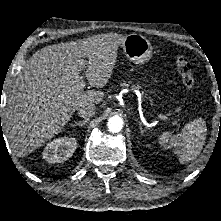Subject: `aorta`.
Listing matches in <instances>:
<instances>
[{
  "label": "aorta",
  "instance_id": "1",
  "mask_svg": "<svg viewBox=\"0 0 221 221\" xmlns=\"http://www.w3.org/2000/svg\"><path fill=\"white\" fill-rule=\"evenodd\" d=\"M123 124V119L121 117L113 116L108 120L107 127L110 132L118 133L122 130Z\"/></svg>",
  "mask_w": 221,
  "mask_h": 221
}]
</instances>
